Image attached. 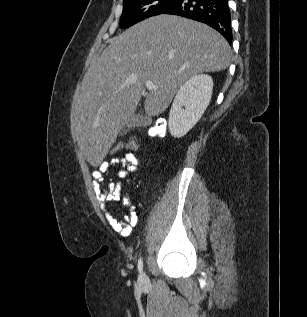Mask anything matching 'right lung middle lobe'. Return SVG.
Wrapping results in <instances>:
<instances>
[{
  "instance_id": "dd1d6c3e",
  "label": "right lung middle lobe",
  "mask_w": 307,
  "mask_h": 317,
  "mask_svg": "<svg viewBox=\"0 0 307 317\" xmlns=\"http://www.w3.org/2000/svg\"><path fill=\"white\" fill-rule=\"evenodd\" d=\"M175 0H123L120 27L128 28L146 18L159 15Z\"/></svg>"
}]
</instances>
